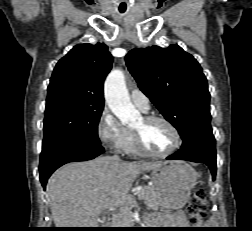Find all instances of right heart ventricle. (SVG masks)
Returning <instances> with one entry per match:
<instances>
[{
    "label": "right heart ventricle",
    "mask_w": 252,
    "mask_h": 231,
    "mask_svg": "<svg viewBox=\"0 0 252 231\" xmlns=\"http://www.w3.org/2000/svg\"><path fill=\"white\" fill-rule=\"evenodd\" d=\"M123 150L129 154H133V155L139 154V152L137 151L134 145L132 133L129 130H128V139L124 145Z\"/></svg>",
    "instance_id": "obj_1"
}]
</instances>
